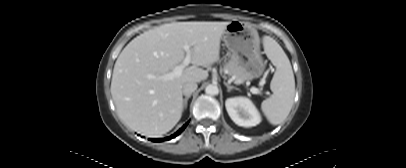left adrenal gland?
<instances>
[{"label": "left adrenal gland", "instance_id": "left-adrenal-gland-1", "mask_svg": "<svg viewBox=\"0 0 406 168\" xmlns=\"http://www.w3.org/2000/svg\"><path fill=\"white\" fill-rule=\"evenodd\" d=\"M224 85L227 87V91L230 92L232 89L238 90V88L231 86L227 82L224 81Z\"/></svg>", "mask_w": 406, "mask_h": 168}]
</instances>
